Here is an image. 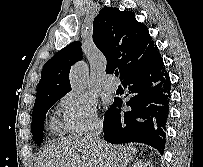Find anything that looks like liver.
<instances>
[{"label": "liver", "instance_id": "obj_1", "mask_svg": "<svg viewBox=\"0 0 203 167\" xmlns=\"http://www.w3.org/2000/svg\"><path fill=\"white\" fill-rule=\"evenodd\" d=\"M137 149L100 140L93 145L86 137L68 138L45 147L35 167H126Z\"/></svg>", "mask_w": 203, "mask_h": 167}]
</instances>
